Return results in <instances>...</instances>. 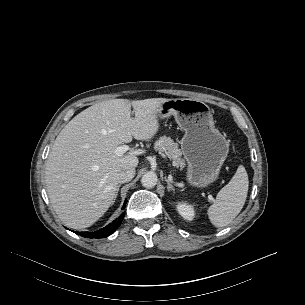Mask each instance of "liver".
Returning <instances> with one entry per match:
<instances>
[{
	"label": "liver",
	"mask_w": 305,
	"mask_h": 305,
	"mask_svg": "<svg viewBox=\"0 0 305 305\" xmlns=\"http://www.w3.org/2000/svg\"><path fill=\"white\" fill-rule=\"evenodd\" d=\"M166 100L100 102L80 112L61 130L45 164V183L50 202L67 227L91 226L114 203L117 173L139 163L134 155H116L115 148L133 138L152 139L159 129V109Z\"/></svg>",
	"instance_id": "6515ba94"
}]
</instances>
